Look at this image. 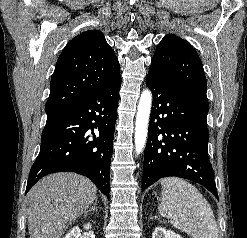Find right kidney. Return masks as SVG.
I'll return each mask as SVG.
<instances>
[{
    "mask_svg": "<svg viewBox=\"0 0 247 238\" xmlns=\"http://www.w3.org/2000/svg\"><path fill=\"white\" fill-rule=\"evenodd\" d=\"M91 223H87L84 225V228L86 230H89L91 228ZM80 236V229L78 226L73 227L66 235L64 238H79Z\"/></svg>",
    "mask_w": 247,
    "mask_h": 238,
    "instance_id": "obj_1",
    "label": "right kidney"
}]
</instances>
